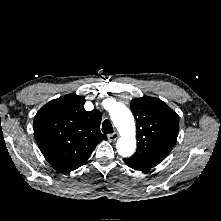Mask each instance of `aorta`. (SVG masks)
<instances>
[{"label": "aorta", "mask_w": 221, "mask_h": 221, "mask_svg": "<svg viewBox=\"0 0 221 221\" xmlns=\"http://www.w3.org/2000/svg\"><path fill=\"white\" fill-rule=\"evenodd\" d=\"M110 117L120 134L116 148L119 155L131 156L136 149V128L131 111L122 103H114L110 109Z\"/></svg>", "instance_id": "obj_1"}]
</instances>
